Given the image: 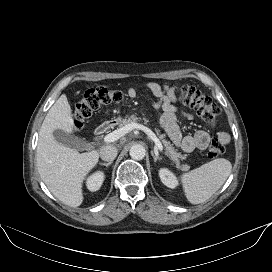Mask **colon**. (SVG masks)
Masks as SVG:
<instances>
[{"label": "colon", "instance_id": "colon-1", "mask_svg": "<svg viewBox=\"0 0 272 272\" xmlns=\"http://www.w3.org/2000/svg\"><path fill=\"white\" fill-rule=\"evenodd\" d=\"M123 93L114 88L100 86L87 90L83 97L75 104L74 118L76 127H81L83 122L93 112L103 106L110 105L122 99ZM182 103L195 110L198 115L207 120H213L220 114L217 104L208 96L193 86L183 85L180 88ZM224 152V145L218 139H213L208 147V156L216 158Z\"/></svg>", "mask_w": 272, "mask_h": 272}]
</instances>
